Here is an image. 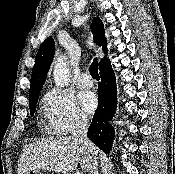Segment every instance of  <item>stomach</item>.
I'll return each mask as SVG.
<instances>
[{"label":"stomach","mask_w":175,"mask_h":174,"mask_svg":"<svg viewBox=\"0 0 175 174\" xmlns=\"http://www.w3.org/2000/svg\"><path fill=\"white\" fill-rule=\"evenodd\" d=\"M26 174H42V173L37 169H32L27 171Z\"/></svg>","instance_id":"1"}]
</instances>
